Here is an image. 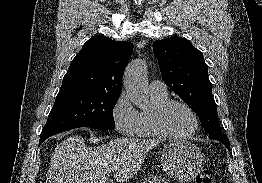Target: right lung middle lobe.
I'll return each mask as SVG.
<instances>
[{"mask_svg":"<svg viewBox=\"0 0 262 183\" xmlns=\"http://www.w3.org/2000/svg\"><path fill=\"white\" fill-rule=\"evenodd\" d=\"M119 95L91 90L58 93L41 135L78 127L113 128V108Z\"/></svg>","mask_w":262,"mask_h":183,"instance_id":"right-lung-middle-lobe-1","label":"right lung middle lobe"}]
</instances>
